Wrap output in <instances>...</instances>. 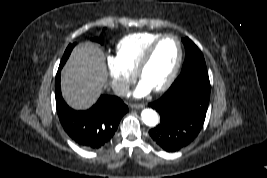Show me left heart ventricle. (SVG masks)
Segmentation results:
<instances>
[{
  "label": "left heart ventricle",
  "instance_id": "1",
  "mask_svg": "<svg viewBox=\"0 0 267 178\" xmlns=\"http://www.w3.org/2000/svg\"><path fill=\"white\" fill-rule=\"evenodd\" d=\"M178 57V45L174 38H165L155 49L145 67L141 80L152 89L165 82L171 73Z\"/></svg>",
  "mask_w": 267,
  "mask_h": 178
}]
</instances>
